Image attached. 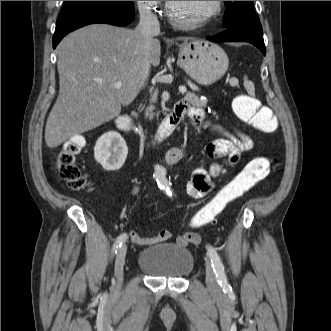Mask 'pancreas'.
I'll return each mask as SVG.
<instances>
[{"label":"pancreas","mask_w":331,"mask_h":331,"mask_svg":"<svg viewBox=\"0 0 331 331\" xmlns=\"http://www.w3.org/2000/svg\"><path fill=\"white\" fill-rule=\"evenodd\" d=\"M157 100V95L154 94L151 97V103H155ZM186 100H188L192 105L194 106H198V107H205L207 105V99H201L199 96H197L195 93L193 92H189L186 95ZM154 106L150 105L147 110H146V116H149V118H153L154 113Z\"/></svg>","instance_id":"pancreas-1"}]
</instances>
